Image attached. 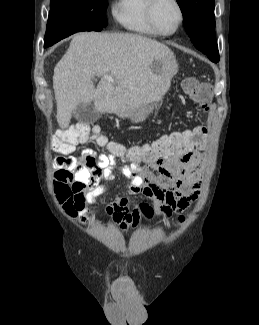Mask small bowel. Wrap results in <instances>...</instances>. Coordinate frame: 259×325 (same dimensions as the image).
<instances>
[{
	"label": "small bowel",
	"instance_id": "c3829d8e",
	"mask_svg": "<svg viewBox=\"0 0 259 325\" xmlns=\"http://www.w3.org/2000/svg\"><path fill=\"white\" fill-rule=\"evenodd\" d=\"M199 143V149H175L145 161L133 160L126 153L97 154L92 148L80 157L56 158L52 168L58 198L68 214L79 212L82 222L88 223L85 203L109 190L114 170L119 169L130 184L127 194L117 196L107 207V214L120 230L135 227L139 221L137 207H131L132 196L152 199L162 215L170 216L184 210L199 193L204 141Z\"/></svg>",
	"mask_w": 259,
	"mask_h": 325
}]
</instances>
